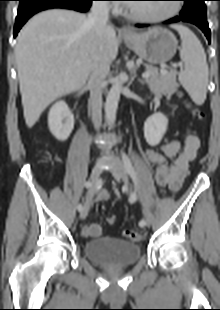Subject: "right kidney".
<instances>
[{
    "instance_id": "ca27d5eb",
    "label": "right kidney",
    "mask_w": 220,
    "mask_h": 310,
    "mask_svg": "<svg viewBox=\"0 0 220 310\" xmlns=\"http://www.w3.org/2000/svg\"><path fill=\"white\" fill-rule=\"evenodd\" d=\"M48 126L52 135L59 141H65L74 128V116L64 101H57L48 114Z\"/></svg>"
}]
</instances>
